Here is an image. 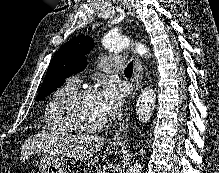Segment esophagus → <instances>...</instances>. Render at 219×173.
<instances>
[{"label":"esophagus","mask_w":219,"mask_h":173,"mask_svg":"<svg viewBox=\"0 0 219 173\" xmlns=\"http://www.w3.org/2000/svg\"><path fill=\"white\" fill-rule=\"evenodd\" d=\"M143 78V66L139 58L135 62V79H136V90L140 88L141 81ZM130 107L127 108L124 118L120 123L119 128L116 130L115 135L112 138V145L114 146H124L127 143V132L130 125Z\"/></svg>","instance_id":"34e87169"}]
</instances>
